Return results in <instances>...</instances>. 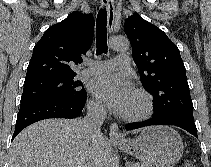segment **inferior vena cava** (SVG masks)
Segmentation results:
<instances>
[{
	"instance_id": "1",
	"label": "inferior vena cava",
	"mask_w": 211,
	"mask_h": 167,
	"mask_svg": "<svg viewBox=\"0 0 211 167\" xmlns=\"http://www.w3.org/2000/svg\"><path fill=\"white\" fill-rule=\"evenodd\" d=\"M106 116V110L102 105L90 104L87 107V116L83 119V129L90 136L91 140L97 141L101 137L100 127ZM83 167H96L92 160L87 161Z\"/></svg>"
}]
</instances>
